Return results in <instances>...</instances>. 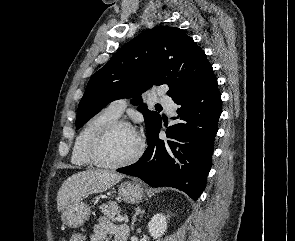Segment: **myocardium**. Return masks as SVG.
<instances>
[{"mask_svg":"<svg viewBox=\"0 0 295 241\" xmlns=\"http://www.w3.org/2000/svg\"><path fill=\"white\" fill-rule=\"evenodd\" d=\"M118 128H127L132 130L138 138V149L130 158L120 161V162H111L106 160L102 155V146L108 136ZM145 151V141L142 136L136 131V129L127 121L116 119L106 125H104L92 138L89 148L88 155L93 162L98 167L108 168V169H118L126 167L136 163L144 154Z\"/></svg>","mask_w":295,"mask_h":241,"instance_id":"obj_1","label":"myocardium"}]
</instances>
